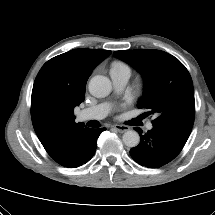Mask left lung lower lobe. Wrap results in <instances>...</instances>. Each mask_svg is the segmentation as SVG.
Wrapping results in <instances>:
<instances>
[{
  "mask_svg": "<svg viewBox=\"0 0 215 215\" xmlns=\"http://www.w3.org/2000/svg\"><path fill=\"white\" fill-rule=\"evenodd\" d=\"M135 130L141 140L130 150V155L137 163L149 168H158L173 160L186 143L159 127L153 126L145 134L138 127Z\"/></svg>",
  "mask_w": 215,
  "mask_h": 215,
  "instance_id": "0a47b994",
  "label": "left lung lower lobe"
}]
</instances>
